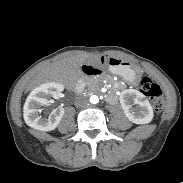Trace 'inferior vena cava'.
<instances>
[{"label":"inferior vena cava","mask_w":183,"mask_h":183,"mask_svg":"<svg viewBox=\"0 0 183 183\" xmlns=\"http://www.w3.org/2000/svg\"><path fill=\"white\" fill-rule=\"evenodd\" d=\"M88 105V99L84 96H79L75 100V106L77 107H85Z\"/></svg>","instance_id":"inferior-vena-cava-1"}]
</instances>
